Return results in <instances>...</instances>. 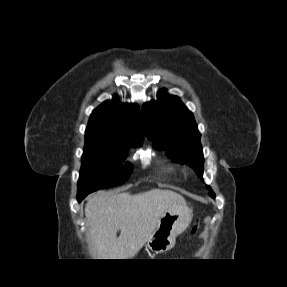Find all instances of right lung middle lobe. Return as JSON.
<instances>
[{
    "label": "right lung middle lobe",
    "instance_id": "1",
    "mask_svg": "<svg viewBox=\"0 0 287 287\" xmlns=\"http://www.w3.org/2000/svg\"><path fill=\"white\" fill-rule=\"evenodd\" d=\"M136 145L141 146L142 143L128 144L85 138L77 196L123 184L132 172V164H122L126 159L125 151Z\"/></svg>",
    "mask_w": 287,
    "mask_h": 287
}]
</instances>
